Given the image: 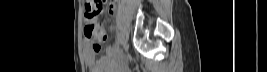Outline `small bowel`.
<instances>
[{"instance_id":"small-bowel-1","label":"small bowel","mask_w":267,"mask_h":72,"mask_svg":"<svg viewBox=\"0 0 267 72\" xmlns=\"http://www.w3.org/2000/svg\"><path fill=\"white\" fill-rule=\"evenodd\" d=\"M110 13H113V6L110 7ZM88 23V21H87ZM85 61L91 72H111L114 62L108 56L96 59L95 50H92L89 40H86Z\"/></svg>"}]
</instances>
